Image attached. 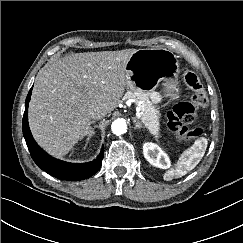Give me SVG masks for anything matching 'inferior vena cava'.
I'll return each mask as SVG.
<instances>
[{"instance_id": "1", "label": "inferior vena cava", "mask_w": 243, "mask_h": 243, "mask_svg": "<svg viewBox=\"0 0 243 243\" xmlns=\"http://www.w3.org/2000/svg\"><path fill=\"white\" fill-rule=\"evenodd\" d=\"M89 112L94 119H101L107 114V110L101 106H94Z\"/></svg>"}]
</instances>
